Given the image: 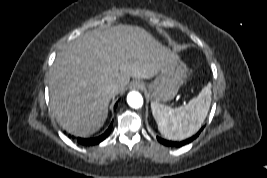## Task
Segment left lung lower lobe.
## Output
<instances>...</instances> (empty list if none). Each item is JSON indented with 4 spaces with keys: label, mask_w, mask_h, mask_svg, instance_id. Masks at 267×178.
<instances>
[{
    "label": "left lung lower lobe",
    "mask_w": 267,
    "mask_h": 178,
    "mask_svg": "<svg viewBox=\"0 0 267 178\" xmlns=\"http://www.w3.org/2000/svg\"><path fill=\"white\" fill-rule=\"evenodd\" d=\"M201 131H202V129H201L197 134H195L194 136H192L191 138H188V139L183 140V141H180V142H176V141H168V140L162 139V138H160V137H157V140H158L160 143H162L163 145H165V146L180 147V146H183V145H185V144H187V143H190V142L193 141L195 138H197Z\"/></svg>",
    "instance_id": "1"
}]
</instances>
